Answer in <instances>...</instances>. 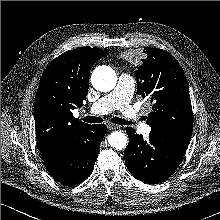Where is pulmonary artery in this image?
<instances>
[{
    "label": "pulmonary artery",
    "mask_w": 220,
    "mask_h": 220,
    "mask_svg": "<svg viewBox=\"0 0 220 220\" xmlns=\"http://www.w3.org/2000/svg\"><path fill=\"white\" fill-rule=\"evenodd\" d=\"M134 88V78L126 73L120 74L114 89L91 104L90 113L104 115L117 109L122 113L126 121L137 123L139 113L130 104ZM140 129L144 133L151 131V128L144 123H140Z\"/></svg>",
    "instance_id": "1"
}]
</instances>
